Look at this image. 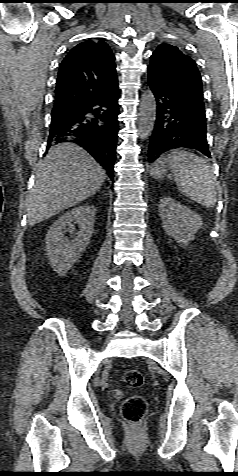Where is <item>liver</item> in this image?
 Masks as SVG:
<instances>
[{
  "mask_svg": "<svg viewBox=\"0 0 238 476\" xmlns=\"http://www.w3.org/2000/svg\"><path fill=\"white\" fill-rule=\"evenodd\" d=\"M105 179V170L80 146L60 143L51 147L37 166L36 181L26 200L29 225L86 200Z\"/></svg>",
  "mask_w": 238,
  "mask_h": 476,
  "instance_id": "6515ba94",
  "label": "liver"
}]
</instances>
